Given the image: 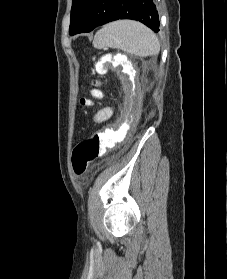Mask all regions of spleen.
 Listing matches in <instances>:
<instances>
[{"label":"spleen","instance_id":"1","mask_svg":"<svg viewBox=\"0 0 227 279\" xmlns=\"http://www.w3.org/2000/svg\"><path fill=\"white\" fill-rule=\"evenodd\" d=\"M93 46L98 49H121L139 57L156 55L160 51L157 36L142 23L130 20L105 25L96 33Z\"/></svg>","mask_w":227,"mask_h":279}]
</instances>
